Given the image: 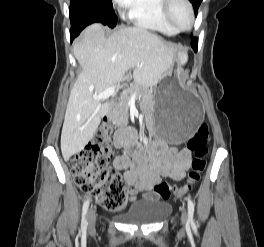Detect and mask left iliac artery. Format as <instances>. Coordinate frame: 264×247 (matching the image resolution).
Listing matches in <instances>:
<instances>
[{
	"mask_svg": "<svg viewBox=\"0 0 264 247\" xmlns=\"http://www.w3.org/2000/svg\"><path fill=\"white\" fill-rule=\"evenodd\" d=\"M188 203V221L191 223V225L194 224L193 215H194V203L190 198H186Z\"/></svg>",
	"mask_w": 264,
	"mask_h": 247,
	"instance_id": "44dca946",
	"label": "left iliac artery"
}]
</instances>
